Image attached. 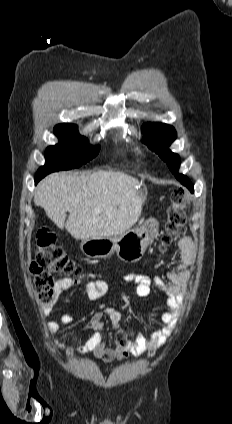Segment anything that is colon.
I'll list each match as a JSON object with an SVG mask.
<instances>
[{
  "label": "colon",
  "instance_id": "obj_1",
  "mask_svg": "<svg viewBox=\"0 0 232 424\" xmlns=\"http://www.w3.org/2000/svg\"><path fill=\"white\" fill-rule=\"evenodd\" d=\"M191 204V196L183 188L175 189L171 194V203L166 211L164 232L161 236L162 248L169 246L185 231L186 212ZM35 277V288L40 302L50 306L54 301L53 274L63 276H81L82 268L63 250L50 231L41 230L37 236L35 259L31 265Z\"/></svg>",
  "mask_w": 232,
  "mask_h": 424
}]
</instances>
